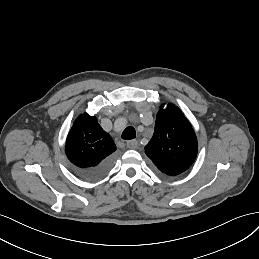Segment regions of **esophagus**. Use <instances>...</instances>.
I'll use <instances>...</instances> for the list:
<instances>
[{"label":"esophagus","instance_id":"esophagus-1","mask_svg":"<svg viewBox=\"0 0 259 259\" xmlns=\"http://www.w3.org/2000/svg\"><path fill=\"white\" fill-rule=\"evenodd\" d=\"M127 147L130 149H136L138 147V142L136 140H130L127 142Z\"/></svg>","mask_w":259,"mask_h":259}]
</instances>
